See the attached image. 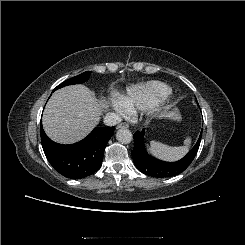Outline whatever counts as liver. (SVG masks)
<instances>
[{
  "label": "liver",
  "instance_id": "1",
  "mask_svg": "<svg viewBox=\"0 0 245 245\" xmlns=\"http://www.w3.org/2000/svg\"><path fill=\"white\" fill-rule=\"evenodd\" d=\"M108 106L84 85L64 87L49 99L43 113V128L57 143L78 142L96 127Z\"/></svg>",
  "mask_w": 245,
  "mask_h": 245
}]
</instances>
